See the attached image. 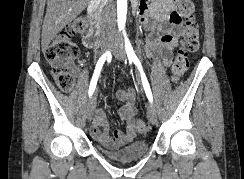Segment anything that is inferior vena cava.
Segmentation results:
<instances>
[{
    "mask_svg": "<svg viewBox=\"0 0 244 179\" xmlns=\"http://www.w3.org/2000/svg\"><path fill=\"white\" fill-rule=\"evenodd\" d=\"M107 20L102 24V32H114L115 34V26H116V20H115V10H110V12H106Z\"/></svg>",
    "mask_w": 244,
    "mask_h": 179,
    "instance_id": "inferior-vena-cava-1",
    "label": "inferior vena cava"
}]
</instances>
